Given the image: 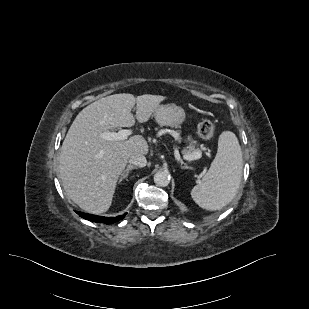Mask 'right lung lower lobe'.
Masks as SVG:
<instances>
[{
    "label": "right lung lower lobe",
    "mask_w": 309,
    "mask_h": 309,
    "mask_svg": "<svg viewBox=\"0 0 309 309\" xmlns=\"http://www.w3.org/2000/svg\"><path fill=\"white\" fill-rule=\"evenodd\" d=\"M80 217L93 221V222H99V223H104V224H112L114 222H118L119 220L123 219L124 216L127 214L120 215L118 217H102V216H97V215H92V214H87V213H82V212H76Z\"/></svg>",
    "instance_id": "obj_1"
}]
</instances>
